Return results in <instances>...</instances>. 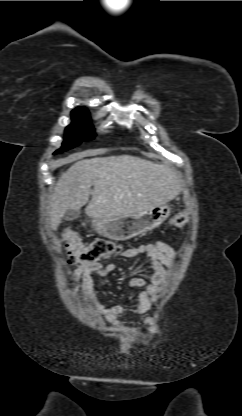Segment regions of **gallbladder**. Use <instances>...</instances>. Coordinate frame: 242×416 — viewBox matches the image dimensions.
Returning a JSON list of instances; mask_svg holds the SVG:
<instances>
[{"mask_svg":"<svg viewBox=\"0 0 242 416\" xmlns=\"http://www.w3.org/2000/svg\"><path fill=\"white\" fill-rule=\"evenodd\" d=\"M80 216V210L68 209L63 218L66 221H73Z\"/></svg>","mask_w":242,"mask_h":416,"instance_id":"obj_1","label":"gallbladder"}]
</instances>
